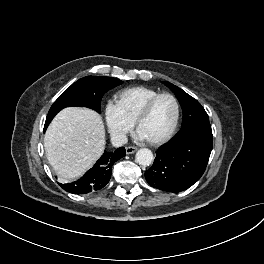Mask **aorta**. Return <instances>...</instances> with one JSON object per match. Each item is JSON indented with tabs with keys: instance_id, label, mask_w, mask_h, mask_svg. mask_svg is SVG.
Masks as SVG:
<instances>
[{
	"instance_id": "obj_1",
	"label": "aorta",
	"mask_w": 264,
	"mask_h": 264,
	"mask_svg": "<svg viewBox=\"0 0 264 264\" xmlns=\"http://www.w3.org/2000/svg\"><path fill=\"white\" fill-rule=\"evenodd\" d=\"M136 162L142 166H149L153 162V153L147 148L139 149L135 156Z\"/></svg>"
}]
</instances>
